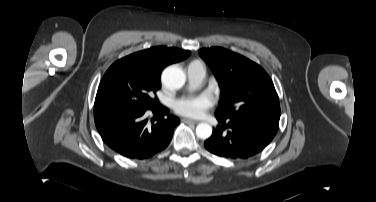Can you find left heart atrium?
<instances>
[{
    "instance_id": "obj_1",
    "label": "left heart atrium",
    "mask_w": 376,
    "mask_h": 202,
    "mask_svg": "<svg viewBox=\"0 0 376 202\" xmlns=\"http://www.w3.org/2000/svg\"><path fill=\"white\" fill-rule=\"evenodd\" d=\"M213 104V98L209 94L203 93L177 100L174 104V109L177 113L184 116L200 117Z\"/></svg>"
}]
</instances>
